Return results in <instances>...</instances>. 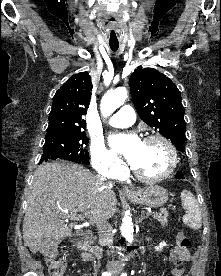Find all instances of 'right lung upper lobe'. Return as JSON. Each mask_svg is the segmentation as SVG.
I'll return each mask as SVG.
<instances>
[{
	"mask_svg": "<svg viewBox=\"0 0 221 276\" xmlns=\"http://www.w3.org/2000/svg\"><path fill=\"white\" fill-rule=\"evenodd\" d=\"M92 91L91 78L87 72L70 77L55 93L46 135L82 132Z\"/></svg>",
	"mask_w": 221,
	"mask_h": 276,
	"instance_id": "cb5924a9",
	"label": "right lung upper lobe"
}]
</instances>
